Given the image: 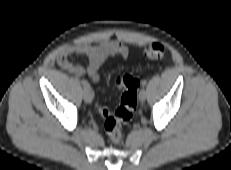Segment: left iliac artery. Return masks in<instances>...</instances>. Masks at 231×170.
I'll use <instances>...</instances> for the list:
<instances>
[{
    "mask_svg": "<svg viewBox=\"0 0 231 170\" xmlns=\"http://www.w3.org/2000/svg\"><path fill=\"white\" fill-rule=\"evenodd\" d=\"M146 84H147V81H146V80H143V81H142V86L144 87V86H146Z\"/></svg>",
    "mask_w": 231,
    "mask_h": 170,
    "instance_id": "44dca946",
    "label": "left iliac artery"
}]
</instances>
